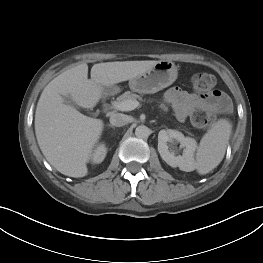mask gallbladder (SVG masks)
Wrapping results in <instances>:
<instances>
[{
  "instance_id": "1",
  "label": "gallbladder",
  "mask_w": 263,
  "mask_h": 263,
  "mask_svg": "<svg viewBox=\"0 0 263 263\" xmlns=\"http://www.w3.org/2000/svg\"><path fill=\"white\" fill-rule=\"evenodd\" d=\"M63 102L66 105L72 106L74 108H79L78 104L71 98V96H62Z\"/></svg>"
}]
</instances>
